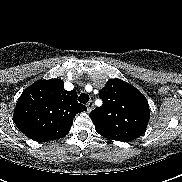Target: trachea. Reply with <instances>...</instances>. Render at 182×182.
Instances as JSON below:
<instances>
[{
  "label": "trachea",
  "mask_w": 182,
  "mask_h": 182,
  "mask_svg": "<svg viewBox=\"0 0 182 182\" xmlns=\"http://www.w3.org/2000/svg\"><path fill=\"white\" fill-rule=\"evenodd\" d=\"M78 100L80 103L86 104L89 101V95L86 93H81Z\"/></svg>",
  "instance_id": "3493384b"
}]
</instances>
